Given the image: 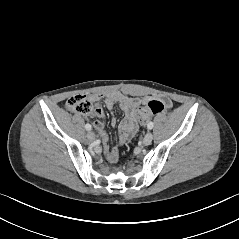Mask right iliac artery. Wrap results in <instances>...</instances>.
Wrapping results in <instances>:
<instances>
[{
    "mask_svg": "<svg viewBox=\"0 0 239 239\" xmlns=\"http://www.w3.org/2000/svg\"><path fill=\"white\" fill-rule=\"evenodd\" d=\"M85 128L87 129V130H91V125L89 124V123H87L86 125H85Z\"/></svg>",
    "mask_w": 239,
    "mask_h": 239,
    "instance_id": "obj_1",
    "label": "right iliac artery"
}]
</instances>
